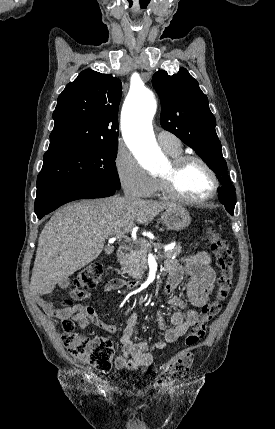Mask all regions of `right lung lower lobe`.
Listing matches in <instances>:
<instances>
[{"instance_id":"obj_1","label":"right lung lower lobe","mask_w":275,"mask_h":429,"mask_svg":"<svg viewBox=\"0 0 275 429\" xmlns=\"http://www.w3.org/2000/svg\"><path fill=\"white\" fill-rule=\"evenodd\" d=\"M117 189L91 183L66 185L37 196L35 213L39 219L59 206L77 199L102 198L115 193Z\"/></svg>"}]
</instances>
